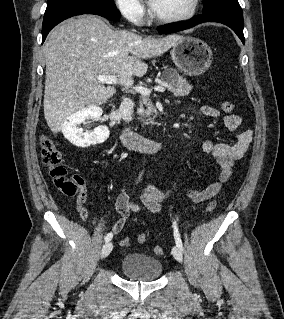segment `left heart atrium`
Masks as SVG:
<instances>
[{"mask_svg": "<svg viewBox=\"0 0 284 319\" xmlns=\"http://www.w3.org/2000/svg\"><path fill=\"white\" fill-rule=\"evenodd\" d=\"M155 3V0H149V4L153 7Z\"/></svg>", "mask_w": 284, "mask_h": 319, "instance_id": "left-heart-atrium-1", "label": "left heart atrium"}]
</instances>
